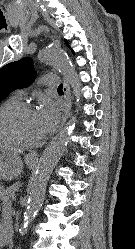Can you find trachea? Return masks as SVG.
<instances>
[{"label": "trachea", "mask_w": 135, "mask_h": 249, "mask_svg": "<svg viewBox=\"0 0 135 249\" xmlns=\"http://www.w3.org/2000/svg\"><path fill=\"white\" fill-rule=\"evenodd\" d=\"M58 91H63V84L58 87Z\"/></svg>", "instance_id": "1"}]
</instances>
